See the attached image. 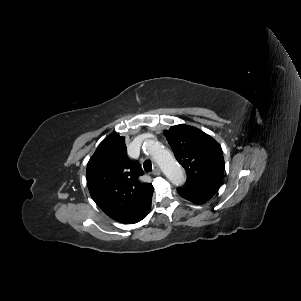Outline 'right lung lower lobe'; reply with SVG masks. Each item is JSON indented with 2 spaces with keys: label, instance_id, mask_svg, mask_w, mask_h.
Segmentation results:
<instances>
[{
  "label": "right lung lower lobe",
  "instance_id": "right-lung-lower-lobe-1",
  "mask_svg": "<svg viewBox=\"0 0 301 301\" xmlns=\"http://www.w3.org/2000/svg\"><path fill=\"white\" fill-rule=\"evenodd\" d=\"M150 208H151V201H150L149 205L146 207V209L144 210V212L130 224L137 223L140 220H142L148 214Z\"/></svg>",
  "mask_w": 301,
  "mask_h": 301
}]
</instances>
